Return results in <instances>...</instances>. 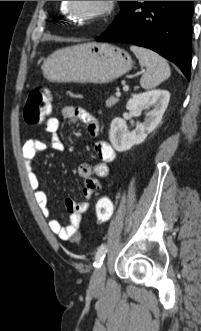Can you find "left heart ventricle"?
I'll use <instances>...</instances> for the list:
<instances>
[{"label":"left heart ventricle","mask_w":201,"mask_h":331,"mask_svg":"<svg viewBox=\"0 0 201 331\" xmlns=\"http://www.w3.org/2000/svg\"><path fill=\"white\" fill-rule=\"evenodd\" d=\"M102 1H73V5L78 14L91 15L101 7Z\"/></svg>","instance_id":"obj_1"}]
</instances>
